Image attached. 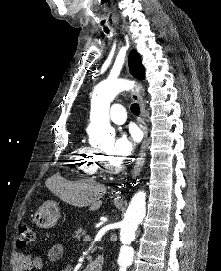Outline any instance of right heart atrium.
<instances>
[{
    "instance_id": "obj_1",
    "label": "right heart atrium",
    "mask_w": 221,
    "mask_h": 271,
    "mask_svg": "<svg viewBox=\"0 0 221 271\" xmlns=\"http://www.w3.org/2000/svg\"><path fill=\"white\" fill-rule=\"evenodd\" d=\"M75 155H83L82 161H98V166L102 159H105V154H92L90 151L87 154H75ZM82 173H95V171H82Z\"/></svg>"
}]
</instances>
